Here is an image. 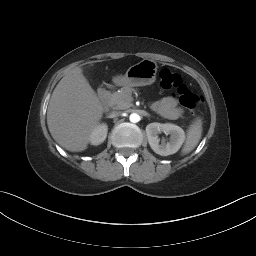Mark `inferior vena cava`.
Here are the masks:
<instances>
[{
    "label": "inferior vena cava",
    "mask_w": 256,
    "mask_h": 256,
    "mask_svg": "<svg viewBox=\"0 0 256 256\" xmlns=\"http://www.w3.org/2000/svg\"><path fill=\"white\" fill-rule=\"evenodd\" d=\"M120 114H121L120 111H112V112L110 113V117H111V118H114V117L119 116Z\"/></svg>",
    "instance_id": "1"
}]
</instances>
